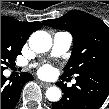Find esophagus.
Returning a JSON list of instances; mask_svg holds the SVG:
<instances>
[{
  "instance_id": "obj_1",
  "label": "esophagus",
  "mask_w": 109,
  "mask_h": 109,
  "mask_svg": "<svg viewBox=\"0 0 109 109\" xmlns=\"http://www.w3.org/2000/svg\"><path fill=\"white\" fill-rule=\"evenodd\" d=\"M42 85H43L44 87H46V88L51 86V84L45 83V82H42Z\"/></svg>"
}]
</instances>
